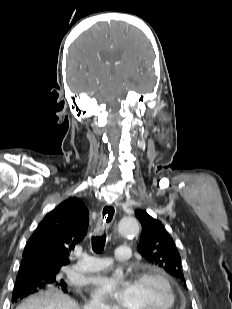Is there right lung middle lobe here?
<instances>
[{"instance_id":"obj_1","label":"right lung middle lobe","mask_w":232,"mask_h":309,"mask_svg":"<svg viewBox=\"0 0 232 309\" xmlns=\"http://www.w3.org/2000/svg\"><path fill=\"white\" fill-rule=\"evenodd\" d=\"M59 269L50 271H40L35 275L25 270H19L16 284L31 283L38 281L43 288L46 287H64L65 282L58 277Z\"/></svg>"}]
</instances>
